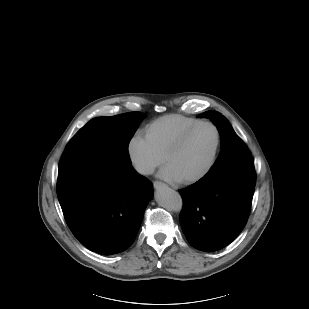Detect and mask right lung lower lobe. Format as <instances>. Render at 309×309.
Masks as SVG:
<instances>
[{
    "label": "right lung lower lobe",
    "mask_w": 309,
    "mask_h": 309,
    "mask_svg": "<svg viewBox=\"0 0 309 309\" xmlns=\"http://www.w3.org/2000/svg\"><path fill=\"white\" fill-rule=\"evenodd\" d=\"M57 195L79 242L93 252L110 255L133 243L153 186L131 164L97 161L57 183Z\"/></svg>",
    "instance_id": "obj_1"
}]
</instances>
